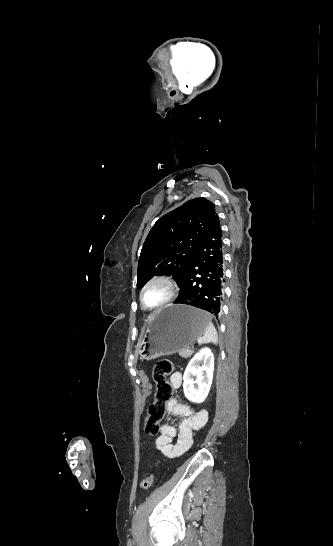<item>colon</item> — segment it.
I'll return each instance as SVG.
<instances>
[{"instance_id": "1", "label": "colon", "mask_w": 333, "mask_h": 546, "mask_svg": "<svg viewBox=\"0 0 333 546\" xmlns=\"http://www.w3.org/2000/svg\"><path fill=\"white\" fill-rule=\"evenodd\" d=\"M174 364L169 359H161L156 362L152 370V379L156 384L155 401L150 405L145 418V432L149 436L157 435L161 428V422L165 417L166 405L173 398L174 387L168 380L173 372ZM154 475L151 474L141 481L143 489H150L154 484Z\"/></svg>"}]
</instances>
